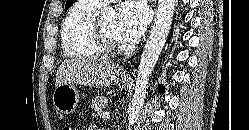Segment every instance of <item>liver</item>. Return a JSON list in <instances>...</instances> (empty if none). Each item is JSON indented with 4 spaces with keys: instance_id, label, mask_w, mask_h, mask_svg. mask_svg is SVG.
<instances>
[{
    "instance_id": "liver-1",
    "label": "liver",
    "mask_w": 249,
    "mask_h": 130,
    "mask_svg": "<svg viewBox=\"0 0 249 130\" xmlns=\"http://www.w3.org/2000/svg\"><path fill=\"white\" fill-rule=\"evenodd\" d=\"M120 67L109 60L78 57L65 60L57 69L55 87L63 84L107 87L115 80Z\"/></svg>"
}]
</instances>
